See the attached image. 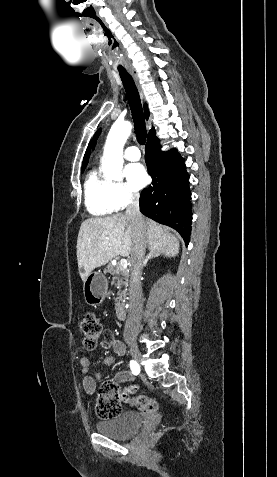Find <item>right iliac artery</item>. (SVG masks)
<instances>
[{
  "mask_svg": "<svg viewBox=\"0 0 277 477\" xmlns=\"http://www.w3.org/2000/svg\"><path fill=\"white\" fill-rule=\"evenodd\" d=\"M130 367H131V370L134 374H136L139 370V365L137 364L136 361H130Z\"/></svg>",
  "mask_w": 277,
  "mask_h": 477,
  "instance_id": "82829eb1",
  "label": "right iliac artery"
}]
</instances>
